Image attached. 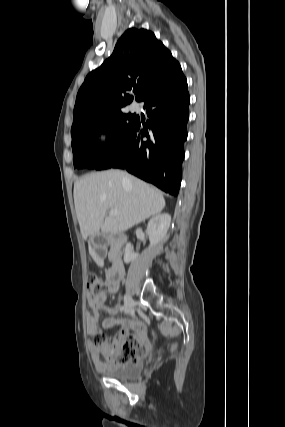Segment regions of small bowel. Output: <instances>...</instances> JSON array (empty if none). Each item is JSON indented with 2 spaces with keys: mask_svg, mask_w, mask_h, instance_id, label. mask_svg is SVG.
<instances>
[{
  "mask_svg": "<svg viewBox=\"0 0 285 427\" xmlns=\"http://www.w3.org/2000/svg\"><path fill=\"white\" fill-rule=\"evenodd\" d=\"M119 287V280H109L106 279V289L110 294L116 293ZM107 294L105 292L98 295H87L88 305L90 307V312L87 315V329L88 332L96 337L103 336L104 330L112 328L114 326H119L117 336L112 344V347L107 351L106 359L107 361H102L100 359L99 353L102 348L94 341L90 344V350L92 354V359L95 366L98 369H104L106 367H118L123 366L128 363H120L117 361L123 345L127 343V340L132 337L130 334L131 331H135L139 341L146 347V340L143 333V326L138 321L127 320V319H116L115 315L119 307H108L106 305ZM101 311L107 313L109 316L105 319H101Z\"/></svg>",
  "mask_w": 285,
  "mask_h": 427,
  "instance_id": "c3829d8e",
  "label": "small bowel"
}]
</instances>
